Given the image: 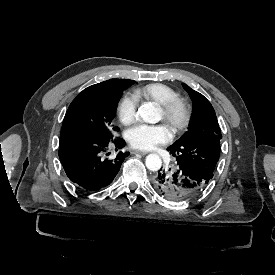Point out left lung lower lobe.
<instances>
[{
    "label": "left lung lower lobe",
    "instance_id": "1",
    "mask_svg": "<svg viewBox=\"0 0 275 275\" xmlns=\"http://www.w3.org/2000/svg\"><path fill=\"white\" fill-rule=\"evenodd\" d=\"M209 180H205L194 172L178 165L177 170L158 171L153 184L155 189L168 200H183L197 196L201 193Z\"/></svg>",
    "mask_w": 275,
    "mask_h": 275
}]
</instances>
